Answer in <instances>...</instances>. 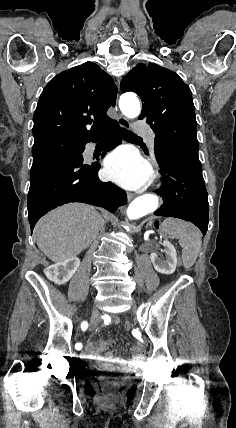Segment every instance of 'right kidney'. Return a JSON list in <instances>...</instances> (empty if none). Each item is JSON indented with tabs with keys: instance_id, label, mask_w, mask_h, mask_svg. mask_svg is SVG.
<instances>
[{
	"instance_id": "right-kidney-1",
	"label": "right kidney",
	"mask_w": 236,
	"mask_h": 428,
	"mask_svg": "<svg viewBox=\"0 0 236 428\" xmlns=\"http://www.w3.org/2000/svg\"><path fill=\"white\" fill-rule=\"evenodd\" d=\"M79 266V258H77V256H71V258L64 260V262H56V264L48 266L44 274L47 276L48 280L55 282V284H66V282L71 280Z\"/></svg>"
}]
</instances>
